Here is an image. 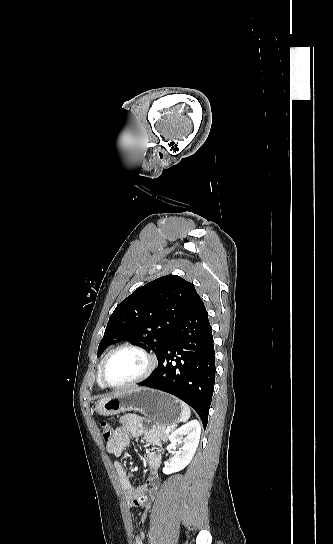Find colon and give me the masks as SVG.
Segmentation results:
<instances>
[{"label": "colon", "mask_w": 333, "mask_h": 544, "mask_svg": "<svg viewBox=\"0 0 333 544\" xmlns=\"http://www.w3.org/2000/svg\"><path fill=\"white\" fill-rule=\"evenodd\" d=\"M99 428H100V431H101V434H102V437L104 438V440L109 441L112 438V428H111V426L107 422L102 421L99 424Z\"/></svg>", "instance_id": "obj_1"}]
</instances>
